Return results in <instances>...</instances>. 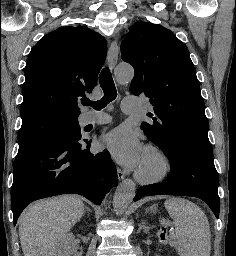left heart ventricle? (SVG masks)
I'll list each match as a JSON object with an SVG mask.
<instances>
[{
    "label": "left heart ventricle",
    "instance_id": "obj_1",
    "mask_svg": "<svg viewBox=\"0 0 236 256\" xmlns=\"http://www.w3.org/2000/svg\"><path fill=\"white\" fill-rule=\"evenodd\" d=\"M158 167L155 156L150 153L144 152L143 157L138 165V168L147 175L153 174Z\"/></svg>",
    "mask_w": 236,
    "mask_h": 256
}]
</instances>
